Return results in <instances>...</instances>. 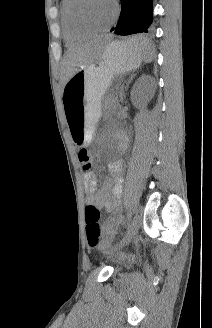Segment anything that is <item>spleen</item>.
I'll use <instances>...</instances> for the list:
<instances>
[{
  "label": "spleen",
  "instance_id": "1",
  "mask_svg": "<svg viewBox=\"0 0 212 328\" xmlns=\"http://www.w3.org/2000/svg\"><path fill=\"white\" fill-rule=\"evenodd\" d=\"M141 39H142L141 37H133V38H131V39H129V40L138 41V40H141ZM118 44L125 45L126 43L118 42ZM130 48H132L131 45H130ZM132 49H134V48H132ZM136 49H140V50H141V48H136ZM142 49H143V48H142ZM150 60H151V59H150V57H149L148 55L145 56V61L149 62Z\"/></svg>",
  "mask_w": 212,
  "mask_h": 328
}]
</instances>
